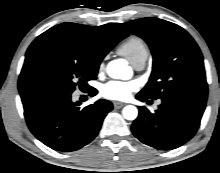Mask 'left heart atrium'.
<instances>
[{
	"instance_id": "1",
	"label": "left heart atrium",
	"mask_w": 220,
	"mask_h": 173,
	"mask_svg": "<svg viewBox=\"0 0 220 173\" xmlns=\"http://www.w3.org/2000/svg\"><path fill=\"white\" fill-rule=\"evenodd\" d=\"M136 89L137 84L133 81H109L102 86L101 94L110 100L123 101L128 99Z\"/></svg>"
}]
</instances>
